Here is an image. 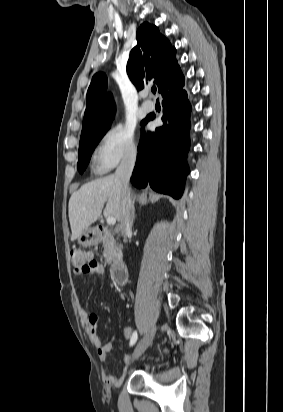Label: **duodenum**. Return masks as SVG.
Segmentation results:
<instances>
[{
	"label": "duodenum",
	"instance_id": "duodenum-1",
	"mask_svg": "<svg viewBox=\"0 0 283 412\" xmlns=\"http://www.w3.org/2000/svg\"><path fill=\"white\" fill-rule=\"evenodd\" d=\"M114 234L107 230L106 228L103 227H97L96 228V238H102L103 236H110L112 237ZM111 275L115 282L118 285H126L128 282V271L127 267L124 264V262L118 260L113 263L111 267Z\"/></svg>",
	"mask_w": 283,
	"mask_h": 412
}]
</instances>
